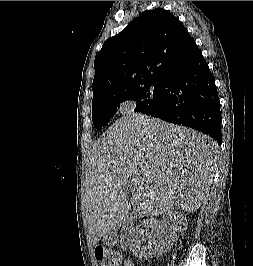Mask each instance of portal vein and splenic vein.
Wrapping results in <instances>:
<instances>
[{
  "label": "portal vein and splenic vein",
  "mask_w": 253,
  "mask_h": 266,
  "mask_svg": "<svg viewBox=\"0 0 253 266\" xmlns=\"http://www.w3.org/2000/svg\"><path fill=\"white\" fill-rule=\"evenodd\" d=\"M133 181H134L135 183H137V184H140V183H141V181H140V180H137L136 178H133Z\"/></svg>",
  "instance_id": "18ae733b"
}]
</instances>
